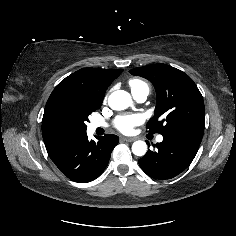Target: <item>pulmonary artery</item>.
Returning <instances> with one entry per match:
<instances>
[{
    "label": "pulmonary artery",
    "instance_id": "e3ab8cb5",
    "mask_svg": "<svg viewBox=\"0 0 236 236\" xmlns=\"http://www.w3.org/2000/svg\"><path fill=\"white\" fill-rule=\"evenodd\" d=\"M134 98L138 101V102H144L147 99L148 93L146 92H139V93H133ZM104 126L102 123L99 122H93L92 123V127L93 128H98V127H102ZM157 142H162L163 141V136L162 135H158L156 138Z\"/></svg>",
    "mask_w": 236,
    "mask_h": 236
}]
</instances>
